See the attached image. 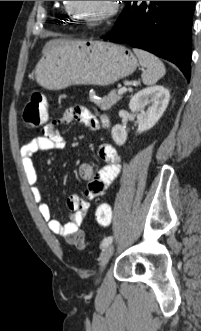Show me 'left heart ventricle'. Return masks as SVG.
<instances>
[{"label": "left heart ventricle", "instance_id": "1", "mask_svg": "<svg viewBox=\"0 0 201 331\" xmlns=\"http://www.w3.org/2000/svg\"><path fill=\"white\" fill-rule=\"evenodd\" d=\"M75 11L85 18H93L105 12L109 1H72Z\"/></svg>", "mask_w": 201, "mask_h": 331}]
</instances>
